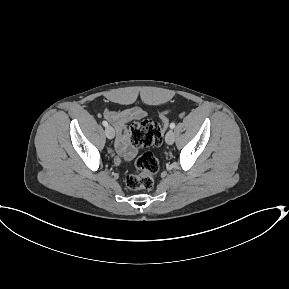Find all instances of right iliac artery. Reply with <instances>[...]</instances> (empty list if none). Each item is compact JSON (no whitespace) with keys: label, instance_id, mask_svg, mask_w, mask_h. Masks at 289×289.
<instances>
[{"label":"right iliac artery","instance_id":"1","mask_svg":"<svg viewBox=\"0 0 289 289\" xmlns=\"http://www.w3.org/2000/svg\"><path fill=\"white\" fill-rule=\"evenodd\" d=\"M102 124H103V126H105V127H107V126H108V123H107V121H103V122H102Z\"/></svg>","mask_w":289,"mask_h":289}]
</instances>
